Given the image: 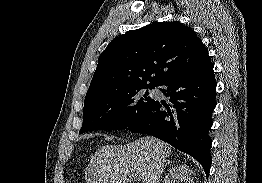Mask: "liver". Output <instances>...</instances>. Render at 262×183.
Here are the masks:
<instances>
[{
    "mask_svg": "<svg viewBox=\"0 0 262 183\" xmlns=\"http://www.w3.org/2000/svg\"><path fill=\"white\" fill-rule=\"evenodd\" d=\"M171 146L152 136L141 137L125 146L104 145L91 157L86 183H130L137 174L142 183H159Z\"/></svg>",
    "mask_w": 262,
    "mask_h": 183,
    "instance_id": "liver-1",
    "label": "liver"
}]
</instances>
